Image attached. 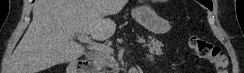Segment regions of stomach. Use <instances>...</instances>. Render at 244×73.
I'll list each match as a JSON object with an SVG mask.
<instances>
[{
    "label": "stomach",
    "instance_id": "stomach-1",
    "mask_svg": "<svg viewBox=\"0 0 244 73\" xmlns=\"http://www.w3.org/2000/svg\"><path fill=\"white\" fill-rule=\"evenodd\" d=\"M131 15L140 25L152 33L165 34L171 29L169 20L158 15L147 5L133 9Z\"/></svg>",
    "mask_w": 244,
    "mask_h": 73
}]
</instances>
